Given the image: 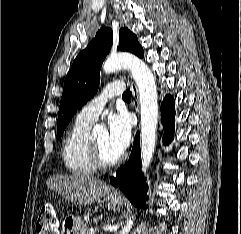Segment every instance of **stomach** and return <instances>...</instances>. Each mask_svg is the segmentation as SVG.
Returning a JSON list of instances; mask_svg holds the SVG:
<instances>
[{"label":"stomach","mask_w":241,"mask_h":234,"mask_svg":"<svg viewBox=\"0 0 241 234\" xmlns=\"http://www.w3.org/2000/svg\"><path fill=\"white\" fill-rule=\"evenodd\" d=\"M107 206L113 210L119 209L122 203L120 197L108 194L106 197ZM63 234H86V227L76 216H69L62 223Z\"/></svg>","instance_id":"0dacf381"}]
</instances>
